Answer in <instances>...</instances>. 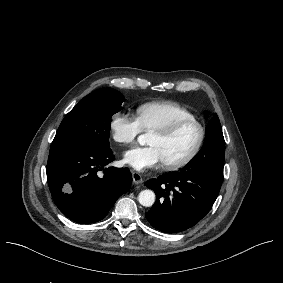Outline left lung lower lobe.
I'll return each mask as SVG.
<instances>
[{
  "instance_id": "obj_1",
  "label": "left lung lower lobe",
  "mask_w": 283,
  "mask_h": 283,
  "mask_svg": "<svg viewBox=\"0 0 283 283\" xmlns=\"http://www.w3.org/2000/svg\"><path fill=\"white\" fill-rule=\"evenodd\" d=\"M210 164L204 162L203 171L187 168L145 182L157 197L145 213L152 227L164 233L181 232L194 226L210 211L221 187L211 175Z\"/></svg>"
}]
</instances>
